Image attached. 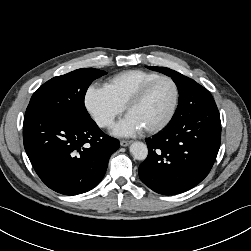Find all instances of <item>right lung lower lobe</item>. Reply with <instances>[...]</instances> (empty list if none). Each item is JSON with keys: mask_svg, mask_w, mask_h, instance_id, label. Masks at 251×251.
Listing matches in <instances>:
<instances>
[{"mask_svg": "<svg viewBox=\"0 0 251 251\" xmlns=\"http://www.w3.org/2000/svg\"><path fill=\"white\" fill-rule=\"evenodd\" d=\"M25 151L36 173L52 190L77 195L103 178L119 141L92 120L73 122L39 108H27L23 124Z\"/></svg>", "mask_w": 251, "mask_h": 251, "instance_id": "1", "label": "right lung lower lobe"}]
</instances>
